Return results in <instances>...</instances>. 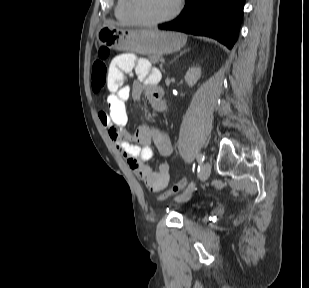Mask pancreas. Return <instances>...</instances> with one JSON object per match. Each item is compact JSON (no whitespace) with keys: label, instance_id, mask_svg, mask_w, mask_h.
Listing matches in <instances>:
<instances>
[{"label":"pancreas","instance_id":"cf45deb5","mask_svg":"<svg viewBox=\"0 0 309 288\" xmlns=\"http://www.w3.org/2000/svg\"><path fill=\"white\" fill-rule=\"evenodd\" d=\"M160 59H161L160 57H155V56L149 57V60L151 61V63H154V64L158 63Z\"/></svg>","mask_w":309,"mask_h":288}]
</instances>
